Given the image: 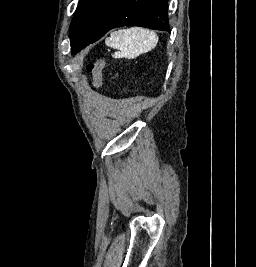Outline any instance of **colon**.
Listing matches in <instances>:
<instances>
[{"instance_id":"obj_1","label":"colon","mask_w":256,"mask_h":267,"mask_svg":"<svg viewBox=\"0 0 256 267\" xmlns=\"http://www.w3.org/2000/svg\"><path fill=\"white\" fill-rule=\"evenodd\" d=\"M105 63L103 60L98 59L88 64L87 70L93 78V85L96 89H100L104 81V71Z\"/></svg>"}]
</instances>
